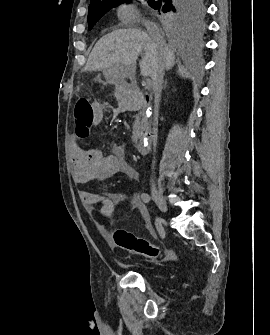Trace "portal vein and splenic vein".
<instances>
[{
	"label": "portal vein and splenic vein",
	"mask_w": 270,
	"mask_h": 335,
	"mask_svg": "<svg viewBox=\"0 0 270 335\" xmlns=\"http://www.w3.org/2000/svg\"><path fill=\"white\" fill-rule=\"evenodd\" d=\"M153 86L152 80H149L146 85L144 86V89L146 91H149L151 89V87Z\"/></svg>",
	"instance_id": "obj_1"
}]
</instances>
